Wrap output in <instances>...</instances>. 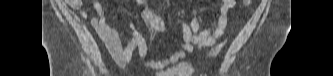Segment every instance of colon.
Masks as SVG:
<instances>
[{"label":"colon","instance_id":"5ec220e1","mask_svg":"<svg viewBox=\"0 0 333 76\" xmlns=\"http://www.w3.org/2000/svg\"><path fill=\"white\" fill-rule=\"evenodd\" d=\"M246 3H249V1H246ZM218 51H219V47H216V48L212 49L211 54L215 55Z\"/></svg>","mask_w":333,"mask_h":76}]
</instances>
